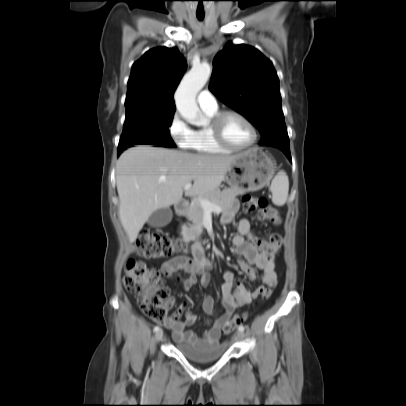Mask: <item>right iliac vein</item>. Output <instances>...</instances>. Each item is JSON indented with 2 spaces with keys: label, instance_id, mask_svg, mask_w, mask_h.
<instances>
[{
  "label": "right iliac vein",
  "instance_id": "right-iliac-vein-1",
  "mask_svg": "<svg viewBox=\"0 0 406 406\" xmlns=\"http://www.w3.org/2000/svg\"><path fill=\"white\" fill-rule=\"evenodd\" d=\"M163 335H164L163 330L160 329L159 331H157L155 334L156 341L157 342L161 341L163 338Z\"/></svg>",
  "mask_w": 406,
  "mask_h": 406
}]
</instances>
